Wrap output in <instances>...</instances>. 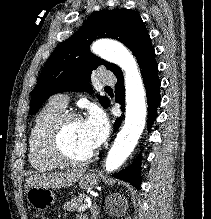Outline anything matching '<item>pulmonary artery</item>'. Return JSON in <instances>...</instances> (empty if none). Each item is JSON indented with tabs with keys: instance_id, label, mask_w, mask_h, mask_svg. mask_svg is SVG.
<instances>
[{
	"instance_id": "e3ab8cb5",
	"label": "pulmonary artery",
	"mask_w": 211,
	"mask_h": 219,
	"mask_svg": "<svg viewBox=\"0 0 211 219\" xmlns=\"http://www.w3.org/2000/svg\"><path fill=\"white\" fill-rule=\"evenodd\" d=\"M99 76H100L99 77L100 82L103 84L115 83V77L112 76L111 74H108L106 72H101ZM51 101L65 107L69 101V96L67 94H59V95L54 96L51 99Z\"/></svg>"
}]
</instances>
